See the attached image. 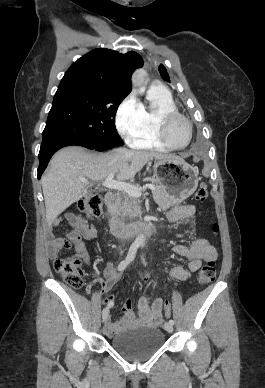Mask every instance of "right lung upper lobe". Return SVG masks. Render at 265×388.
<instances>
[{
	"mask_svg": "<svg viewBox=\"0 0 265 388\" xmlns=\"http://www.w3.org/2000/svg\"><path fill=\"white\" fill-rule=\"evenodd\" d=\"M143 59L135 52L120 54L98 48L79 58L65 73L56 93L91 90L131 92V76L142 67Z\"/></svg>",
	"mask_w": 265,
	"mask_h": 388,
	"instance_id": "cb5924a9",
	"label": "right lung upper lobe"
}]
</instances>
